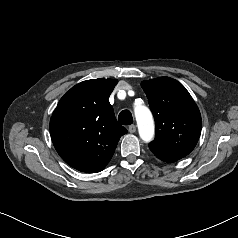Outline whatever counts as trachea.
<instances>
[{"label":"trachea","mask_w":238,"mask_h":238,"mask_svg":"<svg viewBox=\"0 0 238 238\" xmlns=\"http://www.w3.org/2000/svg\"><path fill=\"white\" fill-rule=\"evenodd\" d=\"M118 121L122 125H130L133 123V117L129 110H123L118 116Z\"/></svg>","instance_id":"3493384b"}]
</instances>
